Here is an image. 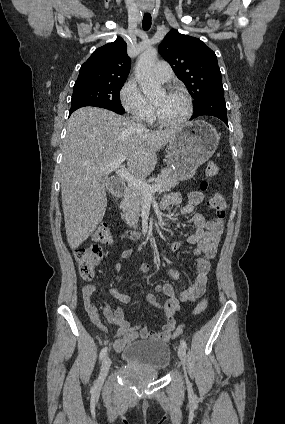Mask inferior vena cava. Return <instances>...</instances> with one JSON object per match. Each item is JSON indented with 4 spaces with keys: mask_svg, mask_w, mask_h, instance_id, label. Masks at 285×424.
<instances>
[{
    "mask_svg": "<svg viewBox=\"0 0 285 424\" xmlns=\"http://www.w3.org/2000/svg\"><path fill=\"white\" fill-rule=\"evenodd\" d=\"M138 127L145 129V127L142 124H138Z\"/></svg>",
    "mask_w": 285,
    "mask_h": 424,
    "instance_id": "obj_1",
    "label": "inferior vena cava"
}]
</instances>
